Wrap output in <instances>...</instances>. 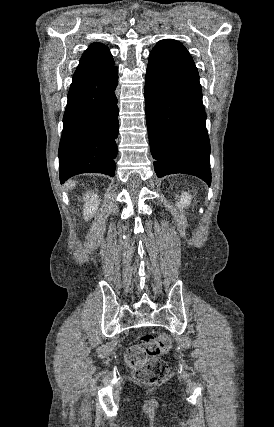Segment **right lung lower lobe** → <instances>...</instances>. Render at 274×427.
I'll use <instances>...</instances> for the list:
<instances>
[{"instance_id":"obj_1","label":"right lung lower lobe","mask_w":274,"mask_h":427,"mask_svg":"<svg viewBox=\"0 0 274 427\" xmlns=\"http://www.w3.org/2000/svg\"><path fill=\"white\" fill-rule=\"evenodd\" d=\"M114 62L97 71L74 74L59 146L60 181L81 173L114 176L118 107Z\"/></svg>"}]
</instances>
